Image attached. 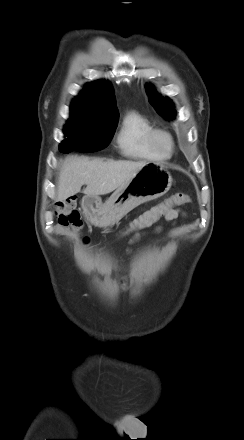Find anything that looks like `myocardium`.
I'll use <instances>...</instances> for the list:
<instances>
[{
	"mask_svg": "<svg viewBox=\"0 0 244 440\" xmlns=\"http://www.w3.org/2000/svg\"><path fill=\"white\" fill-rule=\"evenodd\" d=\"M158 136H164V137H166V138L169 140V142H170V147H169L168 150H162V149L158 146V144H157V142H156V139H157ZM147 141H148L149 146H150V147H151L156 153H158V154H160V155H162V156L170 155V154L174 151V148H175V141H174L173 136H172L169 132H167L166 130H163V129L153 128V129L148 133Z\"/></svg>",
	"mask_w": 244,
	"mask_h": 440,
	"instance_id": "f54148a6",
	"label": "myocardium"
}]
</instances>
